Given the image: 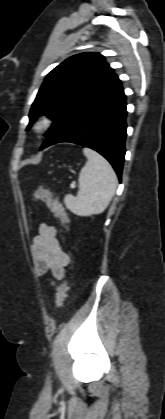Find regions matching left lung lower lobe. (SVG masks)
Listing matches in <instances>:
<instances>
[{"mask_svg":"<svg viewBox=\"0 0 165 419\" xmlns=\"http://www.w3.org/2000/svg\"><path fill=\"white\" fill-rule=\"evenodd\" d=\"M126 96L118 77L79 105L43 142L40 150L72 142L103 155L121 179L125 155Z\"/></svg>","mask_w":165,"mask_h":419,"instance_id":"obj_1","label":"left lung lower lobe"}]
</instances>
